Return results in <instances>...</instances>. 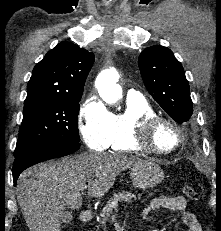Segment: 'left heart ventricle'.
I'll return each mask as SVG.
<instances>
[{"instance_id":"1","label":"left heart ventricle","mask_w":221,"mask_h":231,"mask_svg":"<svg viewBox=\"0 0 221 231\" xmlns=\"http://www.w3.org/2000/svg\"><path fill=\"white\" fill-rule=\"evenodd\" d=\"M176 142L174 131L167 125H161L154 134V143L160 149H169Z\"/></svg>"}]
</instances>
